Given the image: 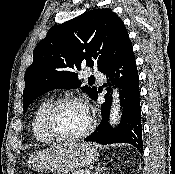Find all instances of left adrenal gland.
<instances>
[{"mask_svg":"<svg viewBox=\"0 0 175 174\" xmlns=\"http://www.w3.org/2000/svg\"><path fill=\"white\" fill-rule=\"evenodd\" d=\"M100 165L101 163L99 162L93 174H99L102 171L103 168H101Z\"/></svg>","mask_w":175,"mask_h":174,"instance_id":"a2214340","label":"left adrenal gland"}]
</instances>
